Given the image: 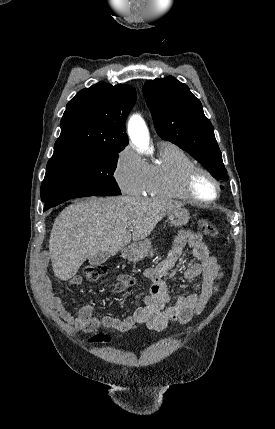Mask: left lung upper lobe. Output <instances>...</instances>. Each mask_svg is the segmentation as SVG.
Returning a JSON list of instances; mask_svg holds the SVG:
<instances>
[{
	"label": "left lung upper lobe",
	"mask_w": 275,
	"mask_h": 429,
	"mask_svg": "<svg viewBox=\"0 0 275 429\" xmlns=\"http://www.w3.org/2000/svg\"><path fill=\"white\" fill-rule=\"evenodd\" d=\"M144 96L158 135L188 152L213 177L227 180L213 126L188 86L173 76L149 80L144 85Z\"/></svg>",
	"instance_id": "1"
}]
</instances>
